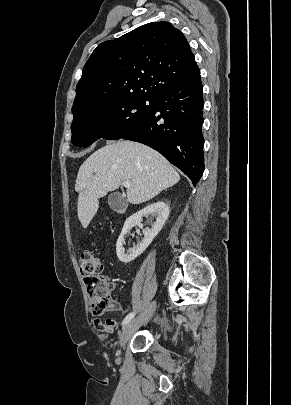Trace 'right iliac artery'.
<instances>
[{
  "mask_svg": "<svg viewBox=\"0 0 291 405\" xmlns=\"http://www.w3.org/2000/svg\"><path fill=\"white\" fill-rule=\"evenodd\" d=\"M135 312L129 313L123 320L122 325L125 326L127 323L131 321V319L134 317Z\"/></svg>",
  "mask_w": 291,
  "mask_h": 405,
  "instance_id": "82829eb1",
  "label": "right iliac artery"
}]
</instances>
